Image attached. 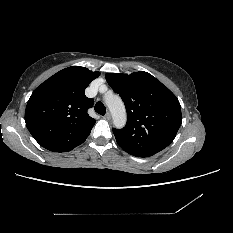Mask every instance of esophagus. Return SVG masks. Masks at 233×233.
Returning a JSON list of instances; mask_svg holds the SVG:
<instances>
[{
  "instance_id": "34e87169",
  "label": "esophagus",
  "mask_w": 233,
  "mask_h": 233,
  "mask_svg": "<svg viewBox=\"0 0 233 233\" xmlns=\"http://www.w3.org/2000/svg\"><path fill=\"white\" fill-rule=\"evenodd\" d=\"M104 118L107 119V120H110L111 119V113L110 112L106 113Z\"/></svg>"
}]
</instances>
